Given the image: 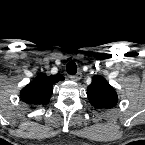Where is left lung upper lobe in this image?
<instances>
[{"label":"left lung upper lobe","instance_id":"1","mask_svg":"<svg viewBox=\"0 0 145 145\" xmlns=\"http://www.w3.org/2000/svg\"><path fill=\"white\" fill-rule=\"evenodd\" d=\"M87 95L92 106L98 109L113 108L118 102L116 91L102 76L93 77Z\"/></svg>","mask_w":145,"mask_h":145}]
</instances>
